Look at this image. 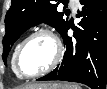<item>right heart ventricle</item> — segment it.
Instances as JSON below:
<instances>
[{"label":"right heart ventricle","mask_w":107,"mask_h":89,"mask_svg":"<svg viewBox=\"0 0 107 89\" xmlns=\"http://www.w3.org/2000/svg\"><path fill=\"white\" fill-rule=\"evenodd\" d=\"M18 45L15 47L14 51H13V55H12V69L14 71V73L17 75V73L15 72L14 70V66H13V60H14V55H15V52H16V49H17ZM18 76V75H17ZM19 77V76H18Z\"/></svg>","instance_id":"obj_1"}]
</instances>
